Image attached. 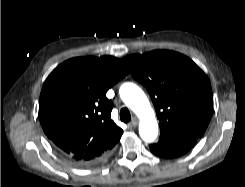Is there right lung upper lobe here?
I'll use <instances>...</instances> for the list:
<instances>
[{
    "label": "right lung upper lobe",
    "mask_w": 245,
    "mask_h": 187,
    "mask_svg": "<svg viewBox=\"0 0 245 187\" xmlns=\"http://www.w3.org/2000/svg\"><path fill=\"white\" fill-rule=\"evenodd\" d=\"M128 74L111 56L69 59L46 79L39 101L44 133L71 161L91 162L109 154L123 130L111 119L106 92Z\"/></svg>",
    "instance_id": "cb5924a9"
}]
</instances>
